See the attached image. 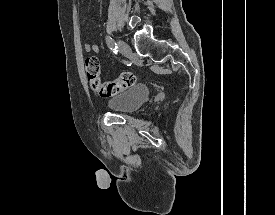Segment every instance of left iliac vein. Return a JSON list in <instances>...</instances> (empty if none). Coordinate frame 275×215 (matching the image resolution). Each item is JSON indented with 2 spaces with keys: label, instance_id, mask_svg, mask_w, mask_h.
Masks as SVG:
<instances>
[{
  "label": "left iliac vein",
  "instance_id": "obj_1",
  "mask_svg": "<svg viewBox=\"0 0 275 215\" xmlns=\"http://www.w3.org/2000/svg\"><path fill=\"white\" fill-rule=\"evenodd\" d=\"M118 49H119V51H120L123 55L128 56V55L131 54V48H130V46H129L126 42H124V41H122V40H119V41H118Z\"/></svg>",
  "mask_w": 275,
  "mask_h": 215
}]
</instances>
